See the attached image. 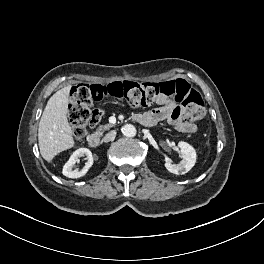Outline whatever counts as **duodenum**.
<instances>
[{
    "mask_svg": "<svg viewBox=\"0 0 264 264\" xmlns=\"http://www.w3.org/2000/svg\"><path fill=\"white\" fill-rule=\"evenodd\" d=\"M135 120L144 126H151V124L149 122L145 121L142 118H135ZM87 142H88L89 146L97 147L100 145L101 135L97 132L92 133L91 135L88 136Z\"/></svg>",
    "mask_w": 264,
    "mask_h": 264,
    "instance_id": "410a0bca",
    "label": "duodenum"
}]
</instances>
